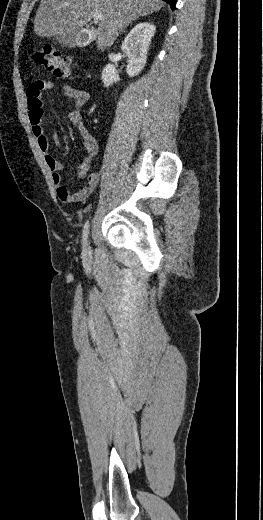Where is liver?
Listing matches in <instances>:
<instances>
[{"label": "liver", "mask_w": 263, "mask_h": 520, "mask_svg": "<svg viewBox=\"0 0 263 520\" xmlns=\"http://www.w3.org/2000/svg\"><path fill=\"white\" fill-rule=\"evenodd\" d=\"M162 0H41L34 20L39 37L73 34L101 12L96 31L100 49L110 47L120 32L140 16L159 11Z\"/></svg>", "instance_id": "6515ba94"}]
</instances>
